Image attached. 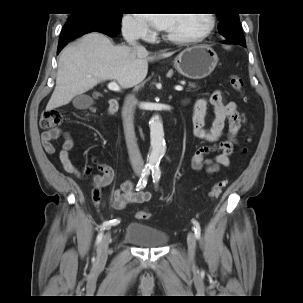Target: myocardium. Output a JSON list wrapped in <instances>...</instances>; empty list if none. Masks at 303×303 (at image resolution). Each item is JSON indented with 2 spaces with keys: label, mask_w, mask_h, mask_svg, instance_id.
Listing matches in <instances>:
<instances>
[{
  "label": "myocardium",
  "mask_w": 303,
  "mask_h": 303,
  "mask_svg": "<svg viewBox=\"0 0 303 303\" xmlns=\"http://www.w3.org/2000/svg\"><path fill=\"white\" fill-rule=\"evenodd\" d=\"M206 15L208 16V25L202 32L190 36H176L166 32L165 37L172 42L181 43V44L198 42L206 38L213 31L216 24V18L214 14L209 13Z\"/></svg>",
  "instance_id": "f54148a6"
}]
</instances>
